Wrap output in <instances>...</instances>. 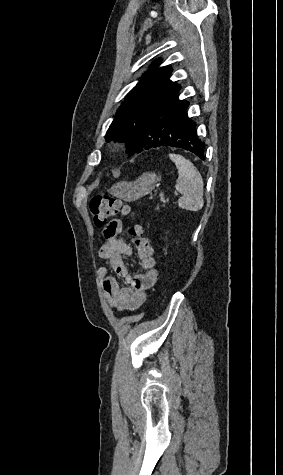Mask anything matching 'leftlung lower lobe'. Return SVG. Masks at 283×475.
Wrapping results in <instances>:
<instances>
[{
	"label": "left lung lower lobe",
	"mask_w": 283,
	"mask_h": 475,
	"mask_svg": "<svg viewBox=\"0 0 283 475\" xmlns=\"http://www.w3.org/2000/svg\"><path fill=\"white\" fill-rule=\"evenodd\" d=\"M179 90L180 86H177L152 109L139 135L125 133L119 136L118 141L128 143L129 155L170 146L205 159V143L197 135V124L188 117L189 102L178 98Z\"/></svg>",
	"instance_id": "obj_1"
}]
</instances>
